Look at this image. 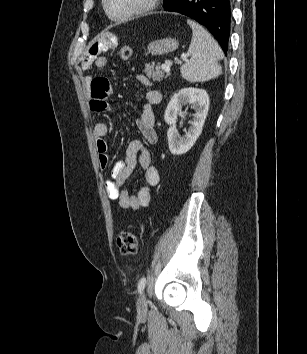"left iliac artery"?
Instances as JSON below:
<instances>
[{"label":"left iliac artery","instance_id":"1","mask_svg":"<svg viewBox=\"0 0 307 354\" xmlns=\"http://www.w3.org/2000/svg\"><path fill=\"white\" fill-rule=\"evenodd\" d=\"M146 286V278L143 277L139 280V283H138V292L139 293H142V291L144 290Z\"/></svg>","mask_w":307,"mask_h":354}]
</instances>
